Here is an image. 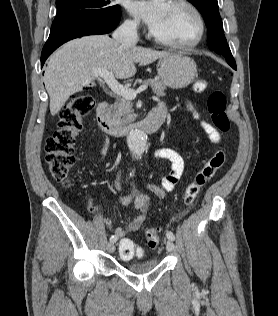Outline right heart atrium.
<instances>
[{"mask_svg": "<svg viewBox=\"0 0 278 316\" xmlns=\"http://www.w3.org/2000/svg\"><path fill=\"white\" fill-rule=\"evenodd\" d=\"M124 28L130 33H136L139 29V22L135 19H127L124 22Z\"/></svg>", "mask_w": 278, "mask_h": 316, "instance_id": "1", "label": "right heart atrium"}]
</instances>
